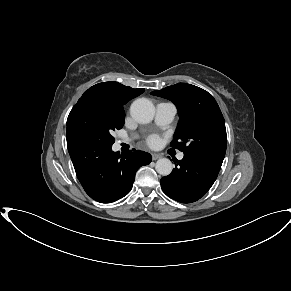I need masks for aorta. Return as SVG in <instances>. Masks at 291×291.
I'll use <instances>...</instances> for the list:
<instances>
[{
    "label": "aorta",
    "instance_id": "obj_1",
    "mask_svg": "<svg viewBox=\"0 0 291 291\" xmlns=\"http://www.w3.org/2000/svg\"><path fill=\"white\" fill-rule=\"evenodd\" d=\"M130 114L138 123L146 124L153 120L155 107L150 100L139 98L131 104ZM155 169L160 175L167 176L172 172L173 164L168 158H161L157 160Z\"/></svg>",
    "mask_w": 291,
    "mask_h": 291
}]
</instances>
